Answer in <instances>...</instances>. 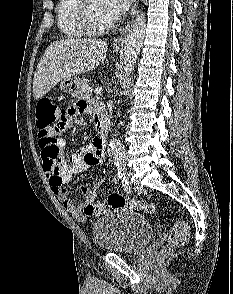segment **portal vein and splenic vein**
<instances>
[{
	"instance_id": "1",
	"label": "portal vein and splenic vein",
	"mask_w": 233,
	"mask_h": 294,
	"mask_svg": "<svg viewBox=\"0 0 233 294\" xmlns=\"http://www.w3.org/2000/svg\"><path fill=\"white\" fill-rule=\"evenodd\" d=\"M94 92H95V94L100 95L102 92V87L95 88Z\"/></svg>"
}]
</instances>
